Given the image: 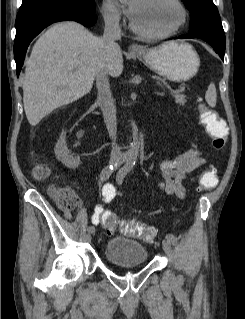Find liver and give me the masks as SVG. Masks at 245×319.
Returning <instances> with one entry per match:
<instances>
[{
	"label": "liver",
	"mask_w": 245,
	"mask_h": 319,
	"mask_svg": "<svg viewBox=\"0 0 245 319\" xmlns=\"http://www.w3.org/2000/svg\"><path fill=\"white\" fill-rule=\"evenodd\" d=\"M123 71L121 51L107 57L102 39L74 21L50 27L36 41L26 64L23 103L30 125L90 92L97 71Z\"/></svg>",
	"instance_id": "obj_1"
}]
</instances>
